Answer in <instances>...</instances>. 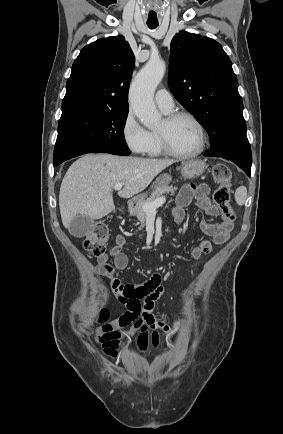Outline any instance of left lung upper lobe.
<instances>
[{"label":"left lung upper lobe","instance_id":"left-lung-upper-lobe-1","mask_svg":"<svg viewBox=\"0 0 283 434\" xmlns=\"http://www.w3.org/2000/svg\"><path fill=\"white\" fill-rule=\"evenodd\" d=\"M169 68L171 92L209 134L207 156L236 165L252 161L237 77L223 47L209 37L181 31L171 41Z\"/></svg>","mask_w":283,"mask_h":434}]
</instances>
